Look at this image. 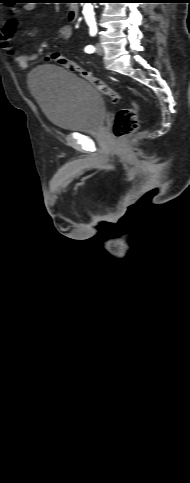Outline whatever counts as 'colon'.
Returning a JSON list of instances; mask_svg holds the SVG:
<instances>
[{"instance_id":"colon-1","label":"colon","mask_w":190,"mask_h":483,"mask_svg":"<svg viewBox=\"0 0 190 483\" xmlns=\"http://www.w3.org/2000/svg\"><path fill=\"white\" fill-rule=\"evenodd\" d=\"M50 59L65 68L69 72L76 73L83 79L90 82L100 93L108 96L113 102L122 99V95L113 88L111 84L95 77L91 72L82 68L74 61L68 59L60 52H53L50 54ZM139 126L138 120V106L131 101L130 106L122 108L118 111L112 131L116 138L122 139L134 133Z\"/></svg>"}]
</instances>
